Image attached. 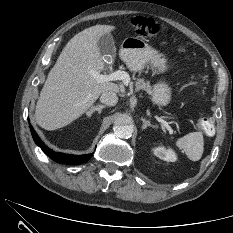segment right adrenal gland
<instances>
[{
	"label": "right adrenal gland",
	"mask_w": 233,
	"mask_h": 233,
	"mask_svg": "<svg viewBox=\"0 0 233 233\" xmlns=\"http://www.w3.org/2000/svg\"><path fill=\"white\" fill-rule=\"evenodd\" d=\"M103 108H105L104 105L92 106V107L90 108V110L86 112V115H87V117H91V115H92L95 111H97L98 114H101Z\"/></svg>",
	"instance_id": "2a0ac1e0"
}]
</instances>
